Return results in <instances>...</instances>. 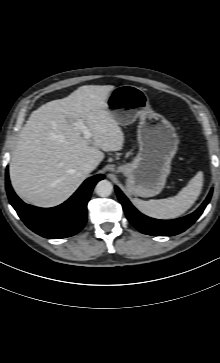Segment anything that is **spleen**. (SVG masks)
<instances>
[{
    "label": "spleen",
    "mask_w": 220,
    "mask_h": 363,
    "mask_svg": "<svg viewBox=\"0 0 220 363\" xmlns=\"http://www.w3.org/2000/svg\"><path fill=\"white\" fill-rule=\"evenodd\" d=\"M203 186V173L199 171L181 191L173 197L144 201L134 199L136 207L145 215L156 219H175L195 203Z\"/></svg>",
    "instance_id": "1"
}]
</instances>
